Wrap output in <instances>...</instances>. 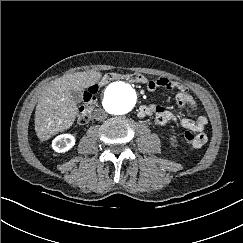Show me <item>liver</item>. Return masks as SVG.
I'll list each match as a JSON object with an SVG mask.
<instances>
[{
  "mask_svg": "<svg viewBox=\"0 0 243 243\" xmlns=\"http://www.w3.org/2000/svg\"><path fill=\"white\" fill-rule=\"evenodd\" d=\"M101 77L100 72L84 71L63 76L41 93L35 112V131L41 141L69 129L76 118L77 106L72 91H82Z\"/></svg>",
  "mask_w": 243,
  "mask_h": 243,
  "instance_id": "6515ba94",
  "label": "liver"
}]
</instances>
